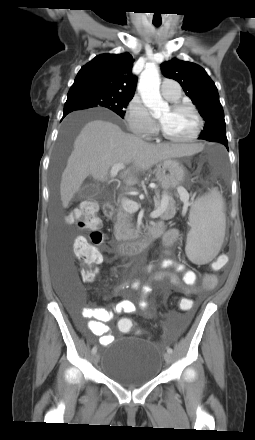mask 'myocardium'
I'll return each mask as SVG.
<instances>
[{"mask_svg":"<svg viewBox=\"0 0 255 440\" xmlns=\"http://www.w3.org/2000/svg\"><path fill=\"white\" fill-rule=\"evenodd\" d=\"M170 108L173 111H177V110H181V109H185V110L190 111L194 115V117L196 119L197 126H196V129H195L194 133L191 136H189L188 138H185V139L174 138V137L170 136L161 127V135L163 136V138L168 140V141H171V142H174V143H180V144H185V143H190V142L195 141L200 136L201 131L203 129V125H204L203 119H202L201 115L199 114V112L192 105L187 104V103H183V102H175V103H173L171 105Z\"/></svg>","mask_w":255,"mask_h":440,"instance_id":"myocardium-1","label":"myocardium"}]
</instances>
